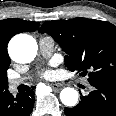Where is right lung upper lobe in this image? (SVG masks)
Segmentation results:
<instances>
[{"label":"right lung upper lobe","mask_w":116,"mask_h":116,"mask_svg":"<svg viewBox=\"0 0 116 116\" xmlns=\"http://www.w3.org/2000/svg\"><path fill=\"white\" fill-rule=\"evenodd\" d=\"M39 22L25 21L18 18L0 21V74L7 72L11 59L7 54L9 40L16 34L27 31H35Z\"/></svg>","instance_id":"cb5924a9"}]
</instances>
